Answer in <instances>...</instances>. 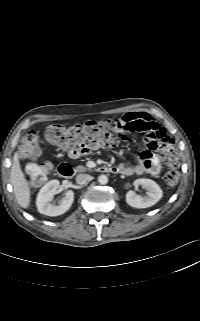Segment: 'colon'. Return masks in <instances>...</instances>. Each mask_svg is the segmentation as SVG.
Listing matches in <instances>:
<instances>
[{
    "label": "colon",
    "instance_id": "5ec220e1",
    "mask_svg": "<svg viewBox=\"0 0 200 321\" xmlns=\"http://www.w3.org/2000/svg\"><path fill=\"white\" fill-rule=\"evenodd\" d=\"M127 126L118 119H104L74 125H50L46 128L45 137L53 145L69 149L73 154H85L96 148L115 147L123 138ZM40 153L39 139L36 132H28L22 139L20 154L25 159L34 160ZM167 172L164 180L168 185H175L179 179V156L173 147L163 154ZM52 165L49 162L33 163L27 174L34 184L43 183Z\"/></svg>",
    "mask_w": 200,
    "mask_h": 321
}]
</instances>
